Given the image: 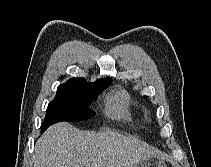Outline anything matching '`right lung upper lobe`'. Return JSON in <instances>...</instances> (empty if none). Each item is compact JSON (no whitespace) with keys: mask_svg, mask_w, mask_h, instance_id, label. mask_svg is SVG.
Here are the masks:
<instances>
[{"mask_svg":"<svg viewBox=\"0 0 211 167\" xmlns=\"http://www.w3.org/2000/svg\"><path fill=\"white\" fill-rule=\"evenodd\" d=\"M107 81H111V79L107 77V78L98 80L97 82H107ZM84 83H87L84 78H72V79H69L66 83L59 85L58 89H64V88H68L71 86H76V85H80Z\"/></svg>","mask_w":211,"mask_h":167,"instance_id":"1","label":"right lung upper lobe"}]
</instances>
